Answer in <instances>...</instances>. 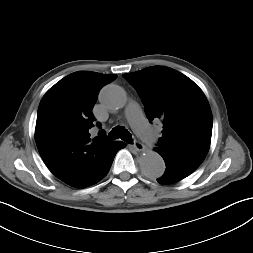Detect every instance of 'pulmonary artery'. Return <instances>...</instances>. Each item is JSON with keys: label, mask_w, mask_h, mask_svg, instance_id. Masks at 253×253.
<instances>
[{"label": "pulmonary artery", "mask_w": 253, "mask_h": 253, "mask_svg": "<svg viewBox=\"0 0 253 253\" xmlns=\"http://www.w3.org/2000/svg\"><path fill=\"white\" fill-rule=\"evenodd\" d=\"M126 114L132 124H135L136 122L142 120V112L137 104H130L126 110ZM144 129L146 131V136L144 137V139L148 142L155 141V133L147 126H144Z\"/></svg>", "instance_id": "e3ab8cb5"}]
</instances>
